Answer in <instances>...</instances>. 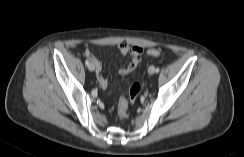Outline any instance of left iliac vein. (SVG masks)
<instances>
[{"instance_id": "left-iliac-vein-1", "label": "left iliac vein", "mask_w": 244, "mask_h": 157, "mask_svg": "<svg viewBox=\"0 0 244 157\" xmlns=\"http://www.w3.org/2000/svg\"><path fill=\"white\" fill-rule=\"evenodd\" d=\"M149 74H154L155 73V67L154 66H150L148 69Z\"/></svg>"}]
</instances>
